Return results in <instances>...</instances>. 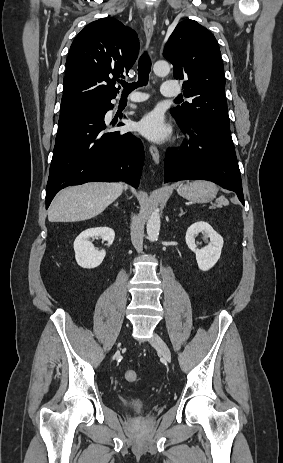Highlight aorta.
<instances>
[{"label":"aorta","mask_w":283,"mask_h":463,"mask_svg":"<svg viewBox=\"0 0 283 463\" xmlns=\"http://www.w3.org/2000/svg\"><path fill=\"white\" fill-rule=\"evenodd\" d=\"M153 71L158 76H165L170 72L169 64L165 61H157L153 66ZM160 231V215L158 211L151 213L147 221V235L151 242L157 241Z\"/></svg>","instance_id":"aorta-1"}]
</instances>
